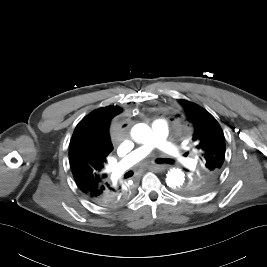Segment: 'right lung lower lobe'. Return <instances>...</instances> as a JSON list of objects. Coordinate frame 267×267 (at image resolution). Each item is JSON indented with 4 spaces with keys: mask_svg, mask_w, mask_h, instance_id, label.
<instances>
[{
    "mask_svg": "<svg viewBox=\"0 0 267 267\" xmlns=\"http://www.w3.org/2000/svg\"><path fill=\"white\" fill-rule=\"evenodd\" d=\"M81 190V189H80ZM82 191V190H81ZM83 192V191H82ZM84 193V192H83ZM92 202L103 207H117L125 202L131 196L129 190L122 186H112L106 183L98 189L84 193Z\"/></svg>",
    "mask_w": 267,
    "mask_h": 267,
    "instance_id": "1",
    "label": "right lung lower lobe"
}]
</instances>
